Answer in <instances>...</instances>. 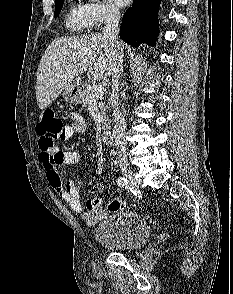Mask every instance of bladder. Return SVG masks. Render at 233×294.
<instances>
[{
  "instance_id": "obj_1",
  "label": "bladder",
  "mask_w": 233,
  "mask_h": 294,
  "mask_svg": "<svg viewBox=\"0 0 233 294\" xmlns=\"http://www.w3.org/2000/svg\"><path fill=\"white\" fill-rule=\"evenodd\" d=\"M94 235L103 247L131 252L143 247L152 237V229L147 221L133 211H119L100 221Z\"/></svg>"
}]
</instances>
